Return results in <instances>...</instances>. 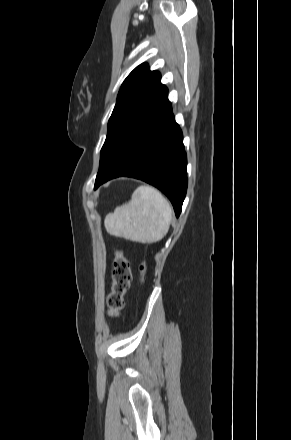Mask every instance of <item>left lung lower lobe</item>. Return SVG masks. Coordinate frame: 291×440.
I'll use <instances>...</instances> for the list:
<instances>
[{
  "label": "left lung lower lobe",
  "instance_id": "1",
  "mask_svg": "<svg viewBox=\"0 0 291 440\" xmlns=\"http://www.w3.org/2000/svg\"><path fill=\"white\" fill-rule=\"evenodd\" d=\"M167 95L166 88L118 137L99 167L94 189L116 177L137 178L160 189L178 217L187 190V158Z\"/></svg>",
  "mask_w": 291,
  "mask_h": 440
}]
</instances>
